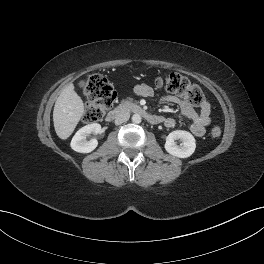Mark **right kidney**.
Segmentation results:
<instances>
[{"instance_id":"obj_1","label":"right kidney","mask_w":264,"mask_h":264,"mask_svg":"<svg viewBox=\"0 0 264 264\" xmlns=\"http://www.w3.org/2000/svg\"><path fill=\"white\" fill-rule=\"evenodd\" d=\"M100 132L101 125L98 123H92L82 127L72 138L71 148L80 153L92 152L98 146V141L96 139L86 141V138L91 133L99 134Z\"/></svg>"}]
</instances>
